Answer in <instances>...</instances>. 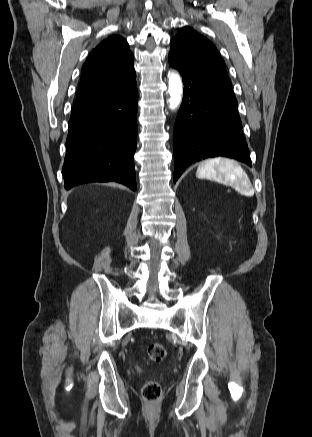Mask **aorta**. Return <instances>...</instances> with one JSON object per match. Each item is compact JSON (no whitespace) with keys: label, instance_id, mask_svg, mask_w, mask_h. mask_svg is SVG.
<instances>
[{"label":"aorta","instance_id":"obj_1","mask_svg":"<svg viewBox=\"0 0 312 437\" xmlns=\"http://www.w3.org/2000/svg\"><path fill=\"white\" fill-rule=\"evenodd\" d=\"M168 92L170 94L169 107L176 109L182 100V81L177 73H169Z\"/></svg>","mask_w":312,"mask_h":437}]
</instances>
